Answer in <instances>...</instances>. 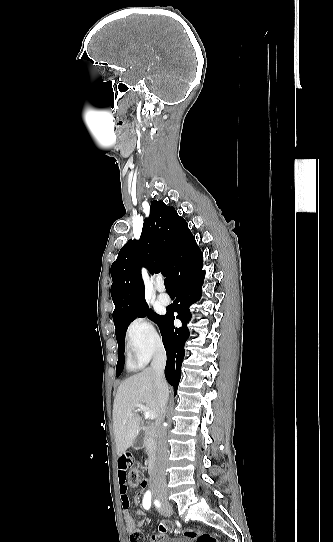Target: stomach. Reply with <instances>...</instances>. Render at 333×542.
<instances>
[{
  "label": "stomach",
  "instance_id": "obj_1",
  "mask_svg": "<svg viewBox=\"0 0 333 542\" xmlns=\"http://www.w3.org/2000/svg\"><path fill=\"white\" fill-rule=\"evenodd\" d=\"M142 440H144V436H142ZM139 442H137V440H135V442H133V446H135V448H137Z\"/></svg>",
  "mask_w": 333,
  "mask_h": 542
}]
</instances>
